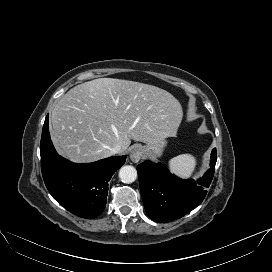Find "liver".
<instances>
[{
  "label": "liver",
  "instance_id": "1",
  "mask_svg": "<svg viewBox=\"0 0 272 272\" xmlns=\"http://www.w3.org/2000/svg\"><path fill=\"white\" fill-rule=\"evenodd\" d=\"M179 101L169 92L140 82L98 78L70 89L50 116L57 151L76 163L127 151L131 139L155 145L174 137L182 121Z\"/></svg>",
  "mask_w": 272,
  "mask_h": 272
}]
</instances>
